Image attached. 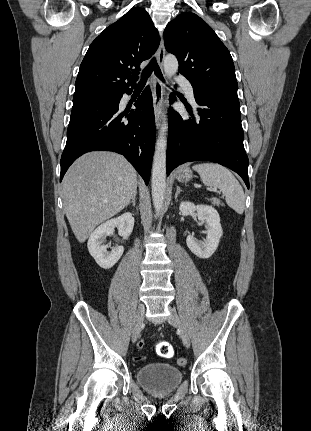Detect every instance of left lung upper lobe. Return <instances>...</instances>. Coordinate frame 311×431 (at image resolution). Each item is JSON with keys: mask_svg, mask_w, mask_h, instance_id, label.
I'll use <instances>...</instances> for the list:
<instances>
[{"mask_svg": "<svg viewBox=\"0 0 311 431\" xmlns=\"http://www.w3.org/2000/svg\"><path fill=\"white\" fill-rule=\"evenodd\" d=\"M165 48L179 61V73L194 93L233 92L238 84L230 52L213 29L193 13H181L164 31Z\"/></svg>", "mask_w": 311, "mask_h": 431, "instance_id": "5c2ea615", "label": "left lung upper lobe"}]
</instances>
